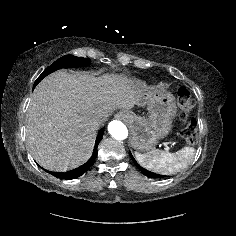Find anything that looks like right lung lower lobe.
Here are the masks:
<instances>
[{"label":"right lung lower lobe","instance_id":"right-lung-lower-lobe-1","mask_svg":"<svg viewBox=\"0 0 236 236\" xmlns=\"http://www.w3.org/2000/svg\"><path fill=\"white\" fill-rule=\"evenodd\" d=\"M103 133H104V128H102L100 130V132L96 138L94 152H93L92 157L85 164H83L82 166H80L76 169L70 170L68 172H50L47 170L46 171L57 178L68 179V180L74 179V178H77V177L83 175L91 167V165L93 164V162L97 156V145L99 144L100 140L102 139Z\"/></svg>","mask_w":236,"mask_h":236}]
</instances>
